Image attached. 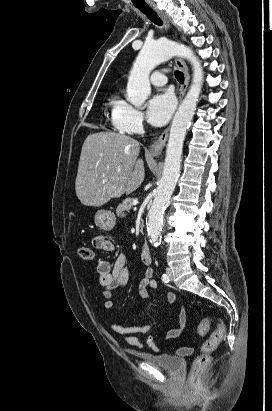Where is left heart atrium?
Returning <instances> with one entry per match:
<instances>
[{"label":"left heart atrium","mask_w":272,"mask_h":411,"mask_svg":"<svg viewBox=\"0 0 272 411\" xmlns=\"http://www.w3.org/2000/svg\"><path fill=\"white\" fill-rule=\"evenodd\" d=\"M175 108V100L170 92L154 95L147 104L148 120L154 126L164 125L171 117Z\"/></svg>","instance_id":"39dd6f15"}]
</instances>
